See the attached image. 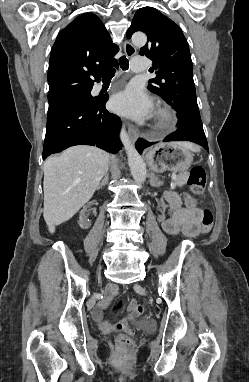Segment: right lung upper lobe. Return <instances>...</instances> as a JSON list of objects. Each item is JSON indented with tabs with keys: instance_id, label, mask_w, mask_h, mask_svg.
Listing matches in <instances>:
<instances>
[{
	"instance_id": "obj_1",
	"label": "right lung upper lobe",
	"mask_w": 249,
	"mask_h": 382,
	"mask_svg": "<svg viewBox=\"0 0 249 382\" xmlns=\"http://www.w3.org/2000/svg\"><path fill=\"white\" fill-rule=\"evenodd\" d=\"M118 51L95 14L85 13L74 19L60 31L51 50L49 103L92 89L94 81L117 62L113 57Z\"/></svg>"
}]
</instances>
